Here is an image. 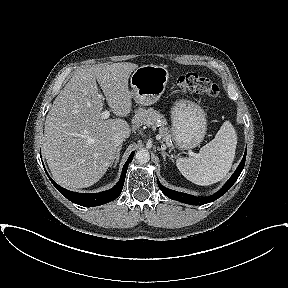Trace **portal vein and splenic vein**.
I'll list each match as a JSON object with an SVG mask.
<instances>
[{"label": "portal vein and splenic vein", "mask_w": 288, "mask_h": 288, "mask_svg": "<svg viewBox=\"0 0 288 288\" xmlns=\"http://www.w3.org/2000/svg\"><path fill=\"white\" fill-rule=\"evenodd\" d=\"M109 116H110V111H108V110L103 111L102 114H101V117L103 119H108Z\"/></svg>", "instance_id": "obj_1"}]
</instances>
